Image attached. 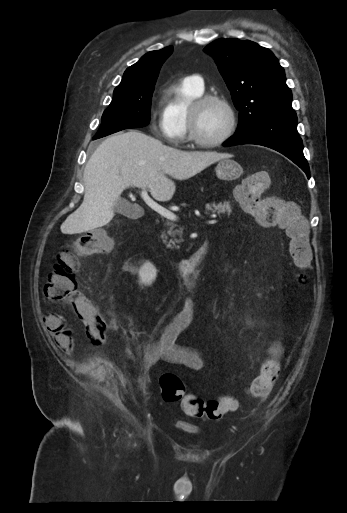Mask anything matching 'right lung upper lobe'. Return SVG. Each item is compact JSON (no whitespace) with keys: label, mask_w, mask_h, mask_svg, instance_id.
Masks as SVG:
<instances>
[{"label":"right lung upper lobe","mask_w":347,"mask_h":513,"mask_svg":"<svg viewBox=\"0 0 347 513\" xmlns=\"http://www.w3.org/2000/svg\"><path fill=\"white\" fill-rule=\"evenodd\" d=\"M172 50V47H166L145 54L137 63L126 69L117 88L144 87L155 83L162 64L170 56Z\"/></svg>","instance_id":"obj_1"}]
</instances>
